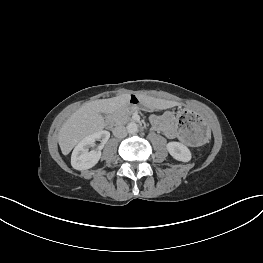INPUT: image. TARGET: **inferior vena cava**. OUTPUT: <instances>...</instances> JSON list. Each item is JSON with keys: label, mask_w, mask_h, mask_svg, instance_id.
Here are the masks:
<instances>
[{"label": "inferior vena cava", "mask_w": 263, "mask_h": 263, "mask_svg": "<svg viewBox=\"0 0 263 263\" xmlns=\"http://www.w3.org/2000/svg\"><path fill=\"white\" fill-rule=\"evenodd\" d=\"M113 135L115 137H118V138H122V137H125L127 135V130L124 126L120 125V126H116L114 129H113Z\"/></svg>", "instance_id": "inferior-vena-cava-1"}]
</instances>
